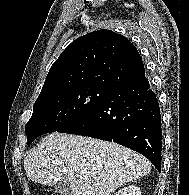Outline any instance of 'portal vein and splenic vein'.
<instances>
[{
	"mask_svg": "<svg viewBox=\"0 0 189 195\" xmlns=\"http://www.w3.org/2000/svg\"><path fill=\"white\" fill-rule=\"evenodd\" d=\"M77 178L81 177L80 175H76Z\"/></svg>",
	"mask_w": 189,
	"mask_h": 195,
	"instance_id": "1",
	"label": "portal vein and splenic vein"
}]
</instances>
